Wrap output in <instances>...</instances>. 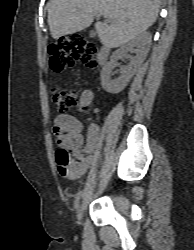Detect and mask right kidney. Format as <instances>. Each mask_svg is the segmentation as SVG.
I'll return each instance as SVG.
<instances>
[{
	"mask_svg": "<svg viewBox=\"0 0 194 250\" xmlns=\"http://www.w3.org/2000/svg\"><path fill=\"white\" fill-rule=\"evenodd\" d=\"M151 38L150 33H141L126 45L121 46L111 55L110 61L103 67L101 72V85L106 92L117 94L126 87L137 69L146 59L151 46ZM129 51L136 52V56L129 57L130 63L121 69L120 76L116 79H112V70L116 61L123 57H127Z\"/></svg>",
	"mask_w": 194,
	"mask_h": 250,
	"instance_id": "right-kidney-1",
	"label": "right kidney"
}]
</instances>
